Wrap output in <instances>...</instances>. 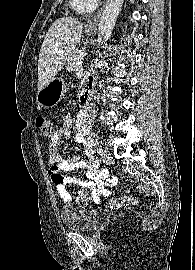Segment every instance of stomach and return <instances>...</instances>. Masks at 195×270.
<instances>
[{"mask_svg":"<svg viewBox=\"0 0 195 270\" xmlns=\"http://www.w3.org/2000/svg\"><path fill=\"white\" fill-rule=\"evenodd\" d=\"M88 34L94 31L86 29ZM67 91V85L62 78H54L41 90L38 91L36 100L39 105L45 108H51L57 105L64 97Z\"/></svg>","mask_w":195,"mask_h":270,"instance_id":"obj_1","label":"stomach"}]
</instances>
